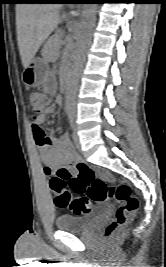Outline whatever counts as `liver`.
<instances>
[{"label": "liver", "mask_w": 166, "mask_h": 267, "mask_svg": "<svg viewBox=\"0 0 166 267\" xmlns=\"http://www.w3.org/2000/svg\"><path fill=\"white\" fill-rule=\"evenodd\" d=\"M60 5L19 3L16 5V30L23 67L34 59L43 42L58 26Z\"/></svg>", "instance_id": "obj_1"}]
</instances>
